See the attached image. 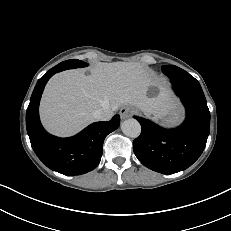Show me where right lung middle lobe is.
<instances>
[{
	"label": "right lung middle lobe",
	"mask_w": 231,
	"mask_h": 231,
	"mask_svg": "<svg viewBox=\"0 0 231 231\" xmlns=\"http://www.w3.org/2000/svg\"><path fill=\"white\" fill-rule=\"evenodd\" d=\"M87 65L88 64L83 62V61H80L78 59H72V60H67V61L61 62L60 64L56 65L53 68H55V69L60 68L62 70H66V69L85 67Z\"/></svg>",
	"instance_id": "right-lung-middle-lobe-1"
}]
</instances>
